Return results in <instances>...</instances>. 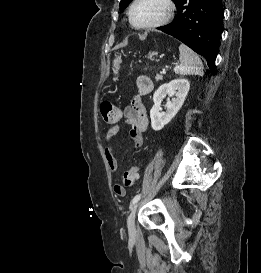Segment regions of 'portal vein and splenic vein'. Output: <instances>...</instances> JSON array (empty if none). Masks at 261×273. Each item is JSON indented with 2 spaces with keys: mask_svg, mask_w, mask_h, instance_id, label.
<instances>
[{
  "mask_svg": "<svg viewBox=\"0 0 261 273\" xmlns=\"http://www.w3.org/2000/svg\"><path fill=\"white\" fill-rule=\"evenodd\" d=\"M165 73H166V70L163 69V70L161 71V74H165Z\"/></svg>",
  "mask_w": 261,
  "mask_h": 273,
  "instance_id": "obj_1",
  "label": "portal vein and splenic vein"
}]
</instances>
